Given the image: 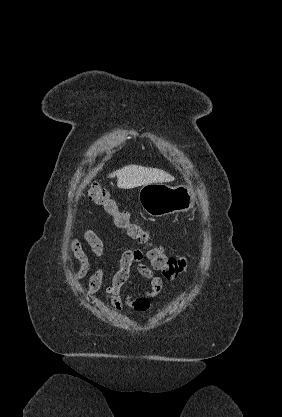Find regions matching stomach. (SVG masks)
<instances>
[{
  "instance_id": "1",
  "label": "stomach",
  "mask_w": 282,
  "mask_h": 417,
  "mask_svg": "<svg viewBox=\"0 0 282 417\" xmlns=\"http://www.w3.org/2000/svg\"><path fill=\"white\" fill-rule=\"evenodd\" d=\"M143 211L152 217L184 213L193 209L194 198L187 186H168L164 182L143 184L139 190Z\"/></svg>"
}]
</instances>
